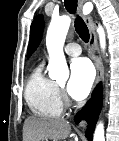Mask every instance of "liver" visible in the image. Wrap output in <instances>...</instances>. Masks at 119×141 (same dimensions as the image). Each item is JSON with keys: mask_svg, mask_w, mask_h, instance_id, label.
<instances>
[{"mask_svg": "<svg viewBox=\"0 0 119 141\" xmlns=\"http://www.w3.org/2000/svg\"><path fill=\"white\" fill-rule=\"evenodd\" d=\"M71 131L68 121L63 119L29 117L23 125L24 141L66 139Z\"/></svg>", "mask_w": 119, "mask_h": 141, "instance_id": "1", "label": "liver"}]
</instances>
